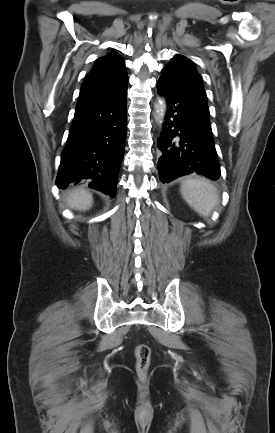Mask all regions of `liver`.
Returning <instances> with one entry per match:
<instances>
[{"label": "liver", "instance_id": "liver-1", "mask_svg": "<svg viewBox=\"0 0 275 433\" xmlns=\"http://www.w3.org/2000/svg\"><path fill=\"white\" fill-rule=\"evenodd\" d=\"M67 204L75 210H87L92 207L93 197L84 188H75L68 193Z\"/></svg>", "mask_w": 275, "mask_h": 433}]
</instances>
